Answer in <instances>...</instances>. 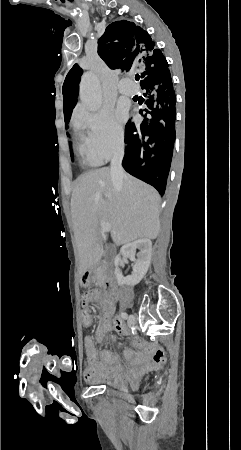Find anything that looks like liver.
<instances>
[{
    "instance_id": "obj_1",
    "label": "liver",
    "mask_w": 241,
    "mask_h": 450,
    "mask_svg": "<svg viewBox=\"0 0 241 450\" xmlns=\"http://www.w3.org/2000/svg\"><path fill=\"white\" fill-rule=\"evenodd\" d=\"M160 196L152 186L125 174L116 190L110 168L91 170L78 178L72 192L71 214L77 244L79 274L101 260V224H109L113 242L155 240L160 232Z\"/></svg>"
}]
</instances>
